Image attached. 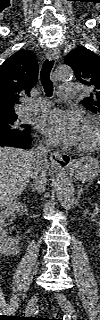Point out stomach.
I'll list each match as a JSON object with an SVG mask.
<instances>
[{
  "mask_svg": "<svg viewBox=\"0 0 100 320\" xmlns=\"http://www.w3.org/2000/svg\"><path fill=\"white\" fill-rule=\"evenodd\" d=\"M70 167L75 178L82 181H91L100 173V161L91 156L73 161Z\"/></svg>",
  "mask_w": 100,
  "mask_h": 320,
  "instance_id": "1",
  "label": "stomach"
}]
</instances>
